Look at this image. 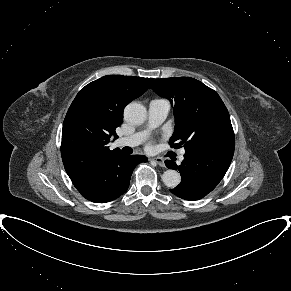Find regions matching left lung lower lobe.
Segmentation results:
<instances>
[{
	"label": "left lung lower lobe",
	"instance_id": "obj_1",
	"mask_svg": "<svg viewBox=\"0 0 291 291\" xmlns=\"http://www.w3.org/2000/svg\"><path fill=\"white\" fill-rule=\"evenodd\" d=\"M233 154L232 148L193 149L185 151L184 160L179 166L166 160V166L178 169L181 175V183L170 191L186 200L203 198L222 180Z\"/></svg>",
	"mask_w": 291,
	"mask_h": 291
}]
</instances>
